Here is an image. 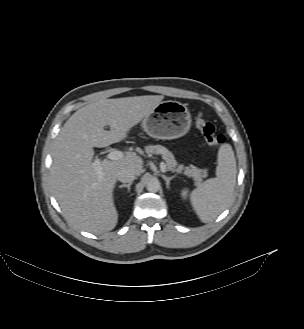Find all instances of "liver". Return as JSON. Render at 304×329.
Returning <instances> with one entry per match:
<instances>
[{
  "label": "liver",
  "mask_w": 304,
  "mask_h": 329,
  "mask_svg": "<svg viewBox=\"0 0 304 329\" xmlns=\"http://www.w3.org/2000/svg\"><path fill=\"white\" fill-rule=\"evenodd\" d=\"M163 98L145 95L99 99L81 107L66 121L54 142L50 178L62 212L75 226L93 234L115 228L118 213L113 191L117 174L129 169L140 175L143 160L133 152L119 160L104 159L100 161V178L94 168L93 148L126 139Z\"/></svg>",
  "instance_id": "obj_1"
}]
</instances>
